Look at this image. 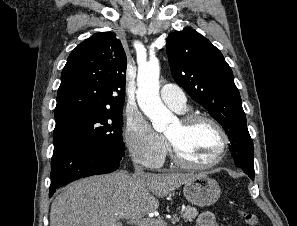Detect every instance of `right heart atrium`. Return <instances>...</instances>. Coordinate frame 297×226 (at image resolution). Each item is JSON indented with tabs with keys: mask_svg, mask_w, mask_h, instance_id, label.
Returning <instances> with one entry per match:
<instances>
[{
	"mask_svg": "<svg viewBox=\"0 0 297 226\" xmlns=\"http://www.w3.org/2000/svg\"><path fill=\"white\" fill-rule=\"evenodd\" d=\"M124 142L131 158L146 168L158 167L167 152L165 139L139 113L128 117Z\"/></svg>",
	"mask_w": 297,
	"mask_h": 226,
	"instance_id": "obj_1",
	"label": "right heart atrium"
}]
</instances>
